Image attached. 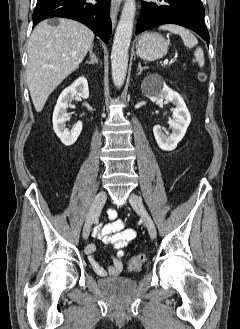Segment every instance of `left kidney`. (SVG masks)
<instances>
[{
  "label": "left kidney",
  "mask_w": 240,
  "mask_h": 329,
  "mask_svg": "<svg viewBox=\"0 0 240 329\" xmlns=\"http://www.w3.org/2000/svg\"><path fill=\"white\" fill-rule=\"evenodd\" d=\"M151 82L156 83V87L153 89L148 88ZM142 90L157 105L162 104L166 100L176 106L173 110V119L169 121L172 129L170 135H165L160 125H156L153 128L154 137L160 149L164 151L174 150L177 144L183 139L191 122V116L183 98L177 92L170 89L158 74L149 75L142 83Z\"/></svg>",
  "instance_id": "obj_1"
}]
</instances>
